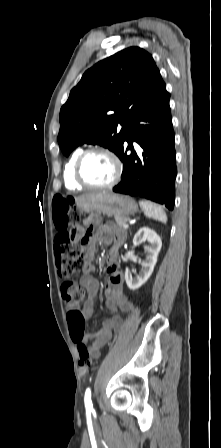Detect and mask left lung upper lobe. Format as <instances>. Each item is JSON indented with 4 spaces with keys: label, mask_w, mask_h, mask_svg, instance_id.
I'll list each match as a JSON object with an SVG mask.
<instances>
[{
    "label": "left lung upper lobe",
    "mask_w": 221,
    "mask_h": 448,
    "mask_svg": "<svg viewBox=\"0 0 221 448\" xmlns=\"http://www.w3.org/2000/svg\"><path fill=\"white\" fill-rule=\"evenodd\" d=\"M164 88L144 49L130 47L99 61L84 73L60 110L58 143L63 154L69 156L79 145L90 143L118 156L134 118Z\"/></svg>",
    "instance_id": "1"
}]
</instances>
